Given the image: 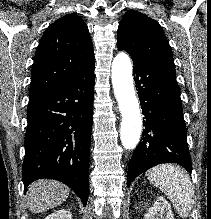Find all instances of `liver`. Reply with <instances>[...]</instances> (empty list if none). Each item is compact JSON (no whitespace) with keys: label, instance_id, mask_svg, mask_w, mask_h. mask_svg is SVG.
<instances>
[{"label":"liver","instance_id":"1","mask_svg":"<svg viewBox=\"0 0 211 219\" xmlns=\"http://www.w3.org/2000/svg\"><path fill=\"white\" fill-rule=\"evenodd\" d=\"M70 189L55 180H39L27 190L28 208L33 213L45 212L62 204L69 196Z\"/></svg>","mask_w":211,"mask_h":219}]
</instances>
